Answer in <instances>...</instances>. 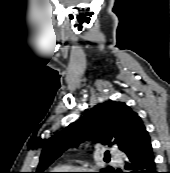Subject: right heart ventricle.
<instances>
[{"label": "right heart ventricle", "mask_w": 170, "mask_h": 173, "mask_svg": "<svg viewBox=\"0 0 170 173\" xmlns=\"http://www.w3.org/2000/svg\"><path fill=\"white\" fill-rule=\"evenodd\" d=\"M60 169H62V171H65V170L69 169V167L64 166V167H61Z\"/></svg>", "instance_id": "1"}]
</instances>
